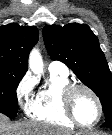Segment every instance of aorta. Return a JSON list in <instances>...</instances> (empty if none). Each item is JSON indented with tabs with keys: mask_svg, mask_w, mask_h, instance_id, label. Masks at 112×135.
Segmentation results:
<instances>
[{
	"mask_svg": "<svg viewBox=\"0 0 112 135\" xmlns=\"http://www.w3.org/2000/svg\"><path fill=\"white\" fill-rule=\"evenodd\" d=\"M28 63L29 68L34 74L39 75L43 73V60L38 49L34 48L31 51Z\"/></svg>",
	"mask_w": 112,
	"mask_h": 135,
	"instance_id": "aorta-1",
	"label": "aorta"
}]
</instances>
